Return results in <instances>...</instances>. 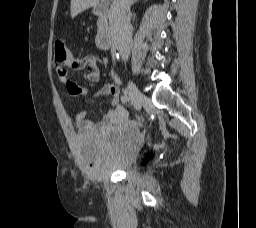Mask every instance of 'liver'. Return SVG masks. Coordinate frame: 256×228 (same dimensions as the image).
Segmentation results:
<instances>
[{
	"instance_id": "liver-1",
	"label": "liver",
	"mask_w": 256,
	"mask_h": 228,
	"mask_svg": "<svg viewBox=\"0 0 256 228\" xmlns=\"http://www.w3.org/2000/svg\"><path fill=\"white\" fill-rule=\"evenodd\" d=\"M99 3V0H71V17L74 18L82 11L95 7Z\"/></svg>"
}]
</instances>
